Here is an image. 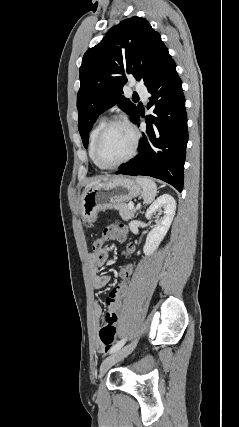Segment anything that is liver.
<instances>
[{"instance_id":"1","label":"liver","mask_w":239,"mask_h":427,"mask_svg":"<svg viewBox=\"0 0 239 427\" xmlns=\"http://www.w3.org/2000/svg\"><path fill=\"white\" fill-rule=\"evenodd\" d=\"M103 181H105V182L108 181V178H104ZM100 182H101V180H95V181L91 182L90 184H88L86 189H88L92 186H95V185L99 184Z\"/></svg>"}]
</instances>
